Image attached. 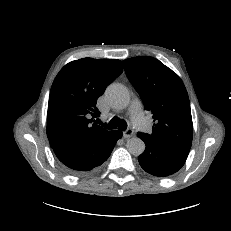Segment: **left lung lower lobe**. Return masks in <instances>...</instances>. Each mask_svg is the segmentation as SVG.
Wrapping results in <instances>:
<instances>
[{"instance_id": "1", "label": "left lung lower lobe", "mask_w": 231, "mask_h": 231, "mask_svg": "<svg viewBox=\"0 0 231 231\" xmlns=\"http://www.w3.org/2000/svg\"><path fill=\"white\" fill-rule=\"evenodd\" d=\"M137 135L146 145L145 151L138 157V161L147 173L158 177L169 176L184 165L190 149L155 142L140 132Z\"/></svg>"}]
</instances>
